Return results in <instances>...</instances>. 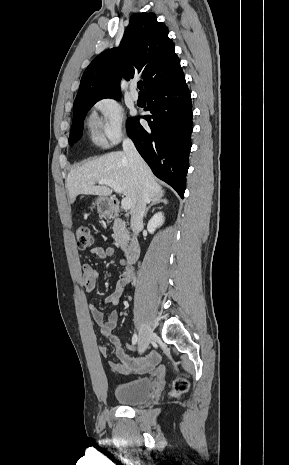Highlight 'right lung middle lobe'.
<instances>
[{
    "mask_svg": "<svg viewBox=\"0 0 289 465\" xmlns=\"http://www.w3.org/2000/svg\"><path fill=\"white\" fill-rule=\"evenodd\" d=\"M98 100H100V99L87 100V101H82V102L74 104L73 123H72V128H71V134L69 136V143L70 144H73L74 142H77L80 139V137L82 136L83 119H84L87 111ZM132 120H133V118L128 119L127 127L130 125Z\"/></svg>",
    "mask_w": 289,
    "mask_h": 465,
    "instance_id": "obj_1",
    "label": "right lung middle lobe"
}]
</instances>
